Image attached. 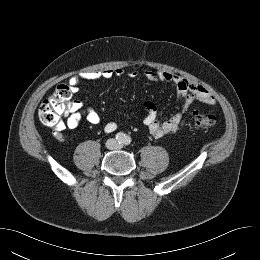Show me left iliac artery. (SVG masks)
Returning <instances> with one entry per match:
<instances>
[{
  "instance_id": "left-iliac-artery-1",
  "label": "left iliac artery",
  "mask_w": 260,
  "mask_h": 260,
  "mask_svg": "<svg viewBox=\"0 0 260 260\" xmlns=\"http://www.w3.org/2000/svg\"><path fill=\"white\" fill-rule=\"evenodd\" d=\"M132 139L130 136H125L124 138V144L129 145L131 143Z\"/></svg>"
}]
</instances>
